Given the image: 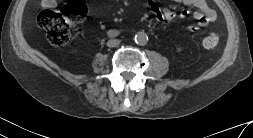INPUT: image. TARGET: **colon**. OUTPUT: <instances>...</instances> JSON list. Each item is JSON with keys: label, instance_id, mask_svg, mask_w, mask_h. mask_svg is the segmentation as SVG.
Wrapping results in <instances>:
<instances>
[{"label": "colon", "instance_id": "colon-1", "mask_svg": "<svg viewBox=\"0 0 253 138\" xmlns=\"http://www.w3.org/2000/svg\"><path fill=\"white\" fill-rule=\"evenodd\" d=\"M87 6L81 0L69 1L61 11L44 10L37 18L38 25L48 32L50 42L57 47L65 46L71 35L73 25L81 23L87 15ZM219 43L215 33L208 34L203 45L213 48Z\"/></svg>", "mask_w": 253, "mask_h": 138}]
</instances>
